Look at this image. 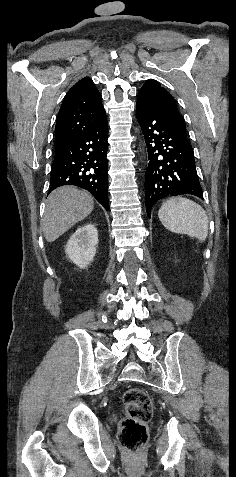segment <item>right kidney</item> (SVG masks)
Segmentation results:
<instances>
[{"label":"right kidney","mask_w":236,"mask_h":477,"mask_svg":"<svg viewBox=\"0 0 236 477\" xmlns=\"http://www.w3.org/2000/svg\"><path fill=\"white\" fill-rule=\"evenodd\" d=\"M97 244V229L93 224H85L70 237L65 252L73 263L83 269L93 261Z\"/></svg>","instance_id":"ca27d5eb"}]
</instances>
